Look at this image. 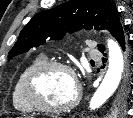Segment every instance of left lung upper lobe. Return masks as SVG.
<instances>
[{
	"instance_id": "1",
	"label": "left lung upper lobe",
	"mask_w": 133,
	"mask_h": 118,
	"mask_svg": "<svg viewBox=\"0 0 133 118\" xmlns=\"http://www.w3.org/2000/svg\"><path fill=\"white\" fill-rule=\"evenodd\" d=\"M117 9L110 0H70L50 10L36 14L21 30L18 40L9 52V59L31 47H37L47 38L59 40L65 33H73L82 28L97 30L107 29L113 33L120 25ZM99 50L103 45H97ZM129 96V87L117 90L110 103L112 116H120L125 112Z\"/></svg>"
}]
</instances>
